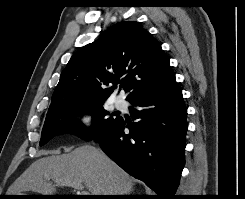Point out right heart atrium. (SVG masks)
Masks as SVG:
<instances>
[{
    "instance_id": "1",
    "label": "right heart atrium",
    "mask_w": 245,
    "mask_h": 199,
    "mask_svg": "<svg viewBox=\"0 0 245 199\" xmlns=\"http://www.w3.org/2000/svg\"><path fill=\"white\" fill-rule=\"evenodd\" d=\"M93 122H94V117L89 112H86V113L82 114L81 117H80V123L84 127L91 126L93 124Z\"/></svg>"
}]
</instances>
